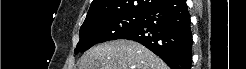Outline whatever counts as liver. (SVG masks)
<instances>
[{"instance_id": "1", "label": "liver", "mask_w": 246, "mask_h": 69, "mask_svg": "<svg viewBox=\"0 0 246 69\" xmlns=\"http://www.w3.org/2000/svg\"><path fill=\"white\" fill-rule=\"evenodd\" d=\"M96 61V62H95ZM79 69H168L167 65L143 45L116 40L88 50Z\"/></svg>"}]
</instances>
